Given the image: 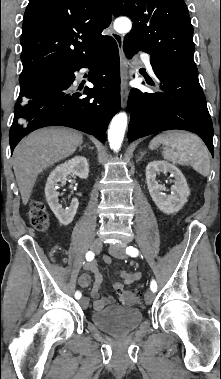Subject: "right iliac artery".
<instances>
[{
  "mask_svg": "<svg viewBox=\"0 0 221 379\" xmlns=\"http://www.w3.org/2000/svg\"><path fill=\"white\" fill-rule=\"evenodd\" d=\"M94 259V253L92 252V251H88L87 253H86V260L87 261H92ZM81 292L80 291H76V293H75V298L76 299H80L81 298Z\"/></svg>",
  "mask_w": 221,
  "mask_h": 379,
  "instance_id": "right-iliac-artery-1",
  "label": "right iliac artery"
}]
</instances>
